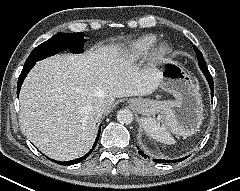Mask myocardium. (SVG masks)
<instances>
[{"label":"myocardium","instance_id":"f54148a6","mask_svg":"<svg viewBox=\"0 0 240 191\" xmlns=\"http://www.w3.org/2000/svg\"><path fill=\"white\" fill-rule=\"evenodd\" d=\"M170 52V46L166 42H160L155 47L150 53V63L152 65H158L160 64L169 54Z\"/></svg>","mask_w":240,"mask_h":191}]
</instances>
